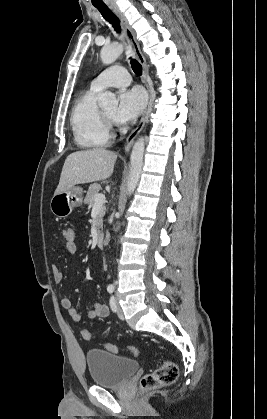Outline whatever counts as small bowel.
<instances>
[{"instance_id": "c3829d8e", "label": "small bowel", "mask_w": 267, "mask_h": 419, "mask_svg": "<svg viewBox=\"0 0 267 419\" xmlns=\"http://www.w3.org/2000/svg\"><path fill=\"white\" fill-rule=\"evenodd\" d=\"M77 251V245L65 244L63 252L67 254H75ZM51 272L53 279L56 283H60L63 280V273L58 265L53 264L51 267ZM62 307L68 312L69 316L73 321L78 322L81 320L82 316L79 311L72 305V302L69 298L65 297L61 300ZM109 315V308L105 304L94 303L87 312V316L90 319L95 318H104Z\"/></svg>"}]
</instances>
